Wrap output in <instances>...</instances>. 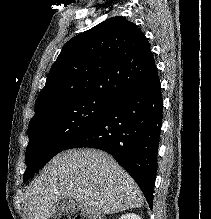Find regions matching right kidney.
<instances>
[{
    "mask_svg": "<svg viewBox=\"0 0 211 219\" xmlns=\"http://www.w3.org/2000/svg\"><path fill=\"white\" fill-rule=\"evenodd\" d=\"M119 219H141V217L135 213H128L122 215Z\"/></svg>",
    "mask_w": 211,
    "mask_h": 219,
    "instance_id": "ca27d5eb",
    "label": "right kidney"
}]
</instances>
